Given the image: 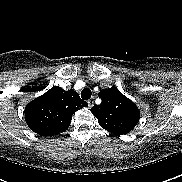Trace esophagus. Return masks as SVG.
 <instances>
[{"label":"esophagus","instance_id":"34e87169","mask_svg":"<svg viewBox=\"0 0 182 182\" xmlns=\"http://www.w3.org/2000/svg\"><path fill=\"white\" fill-rule=\"evenodd\" d=\"M87 103L89 107H92L94 105V98L89 99Z\"/></svg>","mask_w":182,"mask_h":182}]
</instances>
